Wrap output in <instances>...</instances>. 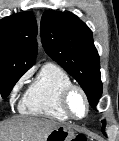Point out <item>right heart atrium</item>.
I'll return each mask as SVG.
<instances>
[{
	"instance_id": "d8ad5b80",
	"label": "right heart atrium",
	"mask_w": 119,
	"mask_h": 141,
	"mask_svg": "<svg viewBox=\"0 0 119 141\" xmlns=\"http://www.w3.org/2000/svg\"><path fill=\"white\" fill-rule=\"evenodd\" d=\"M30 76V72H26L14 85L12 92H11V101L14 103L16 101V98L18 94L20 93L21 89L24 86V83Z\"/></svg>"
}]
</instances>
